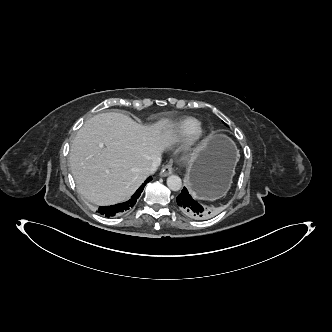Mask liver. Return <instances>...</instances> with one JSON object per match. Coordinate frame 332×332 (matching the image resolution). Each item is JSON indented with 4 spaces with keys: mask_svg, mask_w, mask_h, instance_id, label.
<instances>
[{
    "mask_svg": "<svg viewBox=\"0 0 332 332\" xmlns=\"http://www.w3.org/2000/svg\"><path fill=\"white\" fill-rule=\"evenodd\" d=\"M173 128L168 119L147 127L115 112L87 120L69 155L79 193L99 206L128 200L147 178L145 169L173 144Z\"/></svg>",
    "mask_w": 332,
    "mask_h": 332,
    "instance_id": "1",
    "label": "liver"
}]
</instances>
